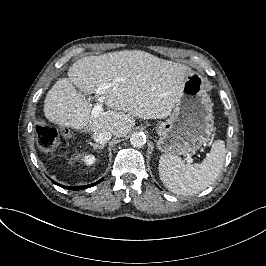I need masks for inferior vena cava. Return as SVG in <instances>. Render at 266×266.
Returning a JSON list of instances; mask_svg holds the SVG:
<instances>
[{"label": "inferior vena cava", "instance_id": "602c4592", "mask_svg": "<svg viewBox=\"0 0 266 266\" xmlns=\"http://www.w3.org/2000/svg\"><path fill=\"white\" fill-rule=\"evenodd\" d=\"M92 132L93 140L99 144L107 143L112 137V133L107 130H94Z\"/></svg>", "mask_w": 266, "mask_h": 266}]
</instances>
